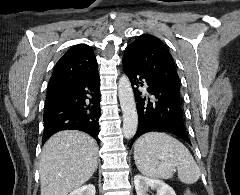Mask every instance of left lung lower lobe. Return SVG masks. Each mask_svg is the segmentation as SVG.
<instances>
[{"label":"left lung lower lobe","mask_w":240,"mask_h":195,"mask_svg":"<svg viewBox=\"0 0 240 195\" xmlns=\"http://www.w3.org/2000/svg\"><path fill=\"white\" fill-rule=\"evenodd\" d=\"M122 63L123 70L133 87L139 120L137 132L130 147L142 134L152 131L172 133L190 143L183 122L180 93L155 80L149 73L129 60L123 58ZM142 79H145L147 91L152 97L141 96L142 93L138 87L144 85Z\"/></svg>","instance_id":"obj_1"}]
</instances>
